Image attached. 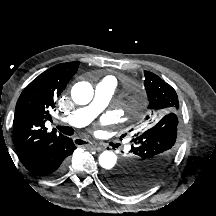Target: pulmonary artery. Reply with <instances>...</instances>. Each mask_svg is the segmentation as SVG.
Wrapping results in <instances>:
<instances>
[{
    "label": "pulmonary artery",
    "instance_id": "pulmonary-artery-1",
    "mask_svg": "<svg viewBox=\"0 0 216 216\" xmlns=\"http://www.w3.org/2000/svg\"><path fill=\"white\" fill-rule=\"evenodd\" d=\"M115 90V79L112 77L103 78L95 87L94 98L91 103L64 117V123L73 127L88 125L107 107Z\"/></svg>",
    "mask_w": 216,
    "mask_h": 216
}]
</instances>
